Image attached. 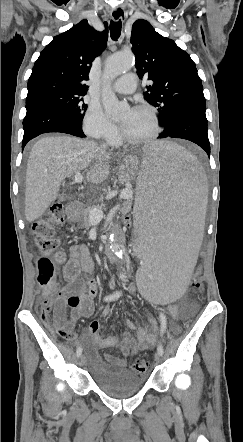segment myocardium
Returning a JSON list of instances; mask_svg holds the SVG:
<instances>
[{
	"label": "myocardium",
	"instance_id": "myocardium-1",
	"mask_svg": "<svg viewBox=\"0 0 243 442\" xmlns=\"http://www.w3.org/2000/svg\"><path fill=\"white\" fill-rule=\"evenodd\" d=\"M134 110H143V111H147L151 114V116L154 120V131L151 135H149L146 138L130 139L124 134V132L121 128L120 129L121 141L125 144L132 145V146H141V145H145V144H148V143L154 141L159 136V134L161 132V123H160V118H159L157 110L153 106L147 105V104L139 105Z\"/></svg>",
	"mask_w": 243,
	"mask_h": 442
}]
</instances>
